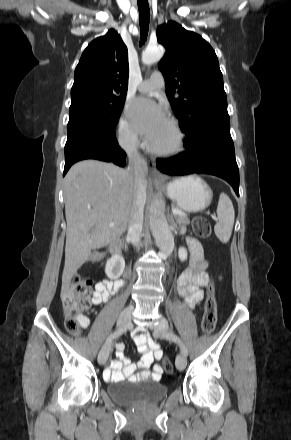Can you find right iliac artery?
<instances>
[{
    "label": "right iliac artery",
    "mask_w": 291,
    "mask_h": 440,
    "mask_svg": "<svg viewBox=\"0 0 291 440\" xmlns=\"http://www.w3.org/2000/svg\"><path fill=\"white\" fill-rule=\"evenodd\" d=\"M128 327H129V324L126 325V326H124V327H122V328H120L118 331L114 332L113 334H111V335L107 338V340H106V344H109V343L111 342L112 339H114V338L120 336L122 333H124V332L127 330Z\"/></svg>",
    "instance_id": "right-iliac-artery-1"
}]
</instances>
